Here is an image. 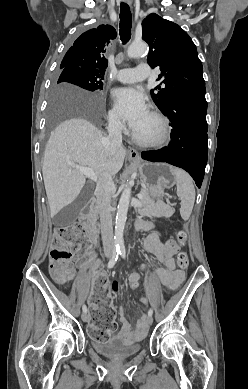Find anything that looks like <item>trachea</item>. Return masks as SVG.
<instances>
[{
  "label": "trachea",
  "mask_w": 248,
  "mask_h": 389,
  "mask_svg": "<svg viewBox=\"0 0 248 389\" xmlns=\"http://www.w3.org/2000/svg\"><path fill=\"white\" fill-rule=\"evenodd\" d=\"M132 15L130 8L126 3L120 5V39L123 43H127L131 37Z\"/></svg>",
  "instance_id": "3493384b"
}]
</instances>
